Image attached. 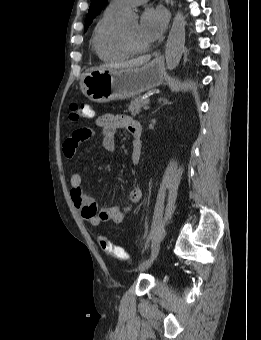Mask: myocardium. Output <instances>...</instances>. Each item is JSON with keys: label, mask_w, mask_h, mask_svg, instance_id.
<instances>
[{"label": "myocardium", "mask_w": 261, "mask_h": 340, "mask_svg": "<svg viewBox=\"0 0 261 340\" xmlns=\"http://www.w3.org/2000/svg\"><path fill=\"white\" fill-rule=\"evenodd\" d=\"M121 41L124 46V48L130 53V54H141L149 50V47L139 48L133 44L129 36L127 35L125 29H121Z\"/></svg>", "instance_id": "myocardium-1"}]
</instances>
